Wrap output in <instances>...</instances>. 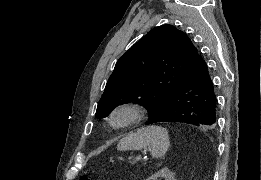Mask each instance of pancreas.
<instances>
[{
    "mask_svg": "<svg viewBox=\"0 0 261 180\" xmlns=\"http://www.w3.org/2000/svg\"><path fill=\"white\" fill-rule=\"evenodd\" d=\"M141 162H136L135 159L132 160L131 164H140Z\"/></svg>",
    "mask_w": 261,
    "mask_h": 180,
    "instance_id": "obj_1",
    "label": "pancreas"
}]
</instances>
